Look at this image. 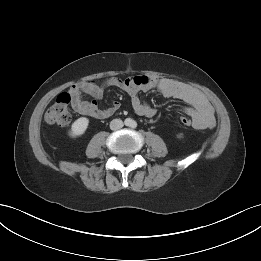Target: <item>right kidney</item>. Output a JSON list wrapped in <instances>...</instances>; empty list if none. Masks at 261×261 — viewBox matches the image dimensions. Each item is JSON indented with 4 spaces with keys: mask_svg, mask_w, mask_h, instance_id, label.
I'll return each instance as SVG.
<instances>
[{
    "mask_svg": "<svg viewBox=\"0 0 261 261\" xmlns=\"http://www.w3.org/2000/svg\"><path fill=\"white\" fill-rule=\"evenodd\" d=\"M89 124V119L86 117L78 118L74 121L69 131V136L75 138L85 133Z\"/></svg>",
    "mask_w": 261,
    "mask_h": 261,
    "instance_id": "1",
    "label": "right kidney"
}]
</instances>
